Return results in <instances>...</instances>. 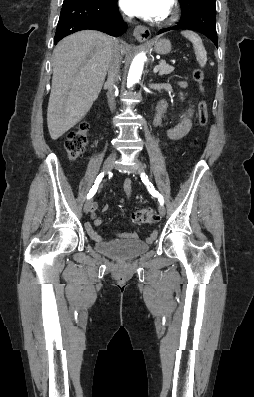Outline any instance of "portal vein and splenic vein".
Returning a JSON list of instances; mask_svg holds the SVG:
<instances>
[{"label": "portal vein and splenic vein", "instance_id": "portal-vein-and-splenic-vein-1", "mask_svg": "<svg viewBox=\"0 0 254 397\" xmlns=\"http://www.w3.org/2000/svg\"><path fill=\"white\" fill-rule=\"evenodd\" d=\"M159 69V65L155 66L154 71L157 72Z\"/></svg>", "mask_w": 254, "mask_h": 397}]
</instances>
